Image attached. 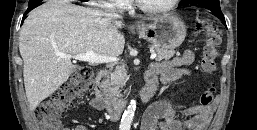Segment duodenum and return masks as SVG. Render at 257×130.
I'll return each mask as SVG.
<instances>
[{"label":"duodenum","mask_w":257,"mask_h":130,"mask_svg":"<svg viewBox=\"0 0 257 130\" xmlns=\"http://www.w3.org/2000/svg\"><path fill=\"white\" fill-rule=\"evenodd\" d=\"M156 90V82L147 81L139 94V101L143 104L147 103L155 94ZM95 95L101 108L106 111L111 119H117L122 115L127 103L123 100H119L113 93L109 85L108 73L106 70H101L97 75Z\"/></svg>","instance_id":"410a0bca"}]
</instances>
